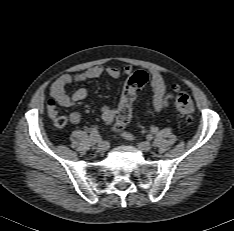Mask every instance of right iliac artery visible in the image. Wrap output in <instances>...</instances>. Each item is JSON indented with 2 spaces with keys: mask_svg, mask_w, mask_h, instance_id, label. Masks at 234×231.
Here are the masks:
<instances>
[{
  "mask_svg": "<svg viewBox=\"0 0 234 231\" xmlns=\"http://www.w3.org/2000/svg\"><path fill=\"white\" fill-rule=\"evenodd\" d=\"M90 144L91 145H95L97 142L100 141V137L98 134V130L97 127L91 128V132H90Z\"/></svg>",
  "mask_w": 234,
  "mask_h": 231,
  "instance_id": "1",
  "label": "right iliac artery"
}]
</instances>
